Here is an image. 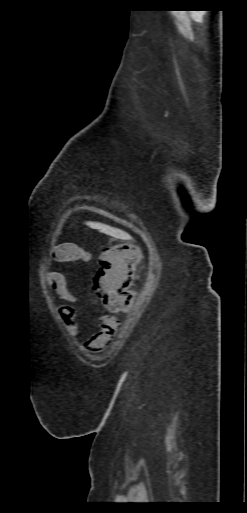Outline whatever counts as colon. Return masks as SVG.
Segmentation results:
<instances>
[{"mask_svg":"<svg viewBox=\"0 0 247 513\" xmlns=\"http://www.w3.org/2000/svg\"><path fill=\"white\" fill-rule=\"evenodd\" d=\"M138 264L139 250L130 243L111 245L100 254L94 290L109 312L119 313L130 307Z\"/></svg>","mask_w":247,"mask_h":513,"instance_id":"colon-1","label":"colon"}]
</instances>
